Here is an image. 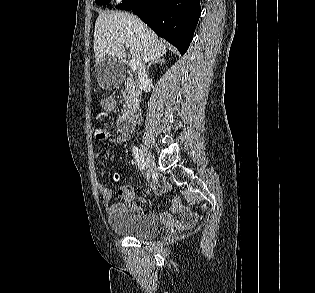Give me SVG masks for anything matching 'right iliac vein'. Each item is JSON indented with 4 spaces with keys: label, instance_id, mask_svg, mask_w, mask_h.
I'll list each match as a JSON object with an SVG mask.
<instances>
[{
    "label": "right iliac vein",
    "instance_id": "obj_1",
    "mask_svg": "<svg viewBox=\"0 0 315 293\" xmlns=\"http://www.w3.org/2000/svg\"><path fill=\"white\" fill-rule=\"evenodd\" d=\"M141 148H142L143 158L145 160V164L147 167V171H148L149 175H153L156 171L155 162H154L150 152L147 150V148L143 144L141 145Z\"/></svg>",
    "mask_w": 315,
    "mask_h": 293
}]
</instances>
